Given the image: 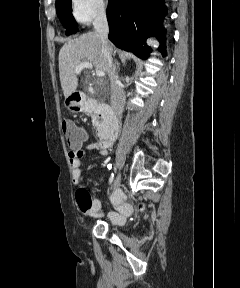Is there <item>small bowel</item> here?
Returning a JSON list of instances; mask_svg holds the SVG:
<instances>
[{
  "label": "small bowel",
  "mask_w": 240,
  "mask_h": 288,
  "mask_svg": "<svg viewBox=\"0 0 240 288\" xmlns=\"http://www.w3.org/2000/svg\"><path fill=\"white\" fill-rule=\"evenodd\" d=\"M69 152V164L72 170V181L78 184L83 174L81 171V159L85 155L95 151L101 156H107V148L100 145V143H90L85 147L81 145L71 146ZM76 201L80 211L88 216H98L101 213V202L98 199H92L85 188L79 187L76 191ZM113 205L116 213H110V219L115 223H122L126 216L131 212V207L124 202V195L122 192H117L113 196Z\"/></svg>",
  "instance_id": "c3829d8e"
}]
</instances>
